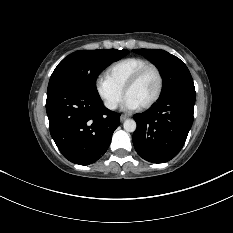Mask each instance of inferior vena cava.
I'll list each match as a JSON object with an SVG mask.
<instances>
[{
	"label": "inferior vena cava",
	"instance_id": "602c4592",
	"mask_svg": "<svg viewBox=\"0 0 233 233\" xmlns=\"http://www.w3.org/2000/svg\"><path fill=\"white\" fill-rule=\"evenodd\" d=\"M106 107L109 109H116L117 103L116 102H108V103H106Z\"/></svg>",
	"mask_w": 233,
	"mask_h": 233
}]
</instances>
